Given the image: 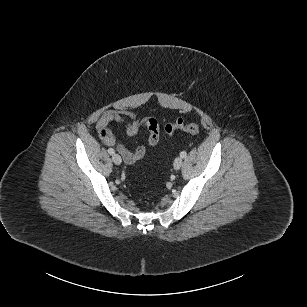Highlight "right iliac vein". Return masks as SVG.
Masks as SVG:
<instances>
[{"instance_id":"obj_1","label":"right iliac vein","mask_w":307,"mask_h":307,"mask_svg":"<svg viewBox=\"0 0 307 307\" xmlns=\"http://www.w3.org/2000/svg\"><path fill=\"white\" fill-rule=\"evenodd\" d=\"M112 160L116 165H120L122 162L121 157L118 154H113L112 155Z\"/></svg>"}]
</instances>
